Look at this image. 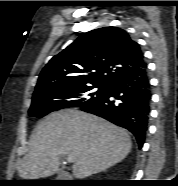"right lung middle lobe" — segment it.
Listing matches in <instances>:
<instances>
[{"label":"right lung middle lobe","mask_w":178,"mask_h":186,"mask_svg":"<svg viewBox=\"0 0 178 186\" xmlns=\"http://www.w3.org/2000/svg\"><path fill=\"white\" fill-rule=\"evenodd\" d=\"M107 89L108 84L94 83L72 88L39 91L33 94L29 115L41 118L60 109L82 107L101 97Z\"/></svg>","instance_id":"right-lung-middle-lobe-1"}]
</instances>
